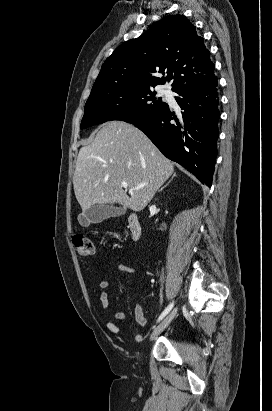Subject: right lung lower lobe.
I'll return each instance as SVG.
<instances>
[{"label":"right lung lower lobe","instance_id":"obj_1","mask_svg":"<svg viewBox=\"0 0 272 411\" xmlns=\"http://www.w3.org/2000/svg\"><path fill=\"white\" fill-rule=\"evenodd\" d=\"M217 79L176 91L177 115L168 104L153 116L133 122L170 160L192 172L202 184L212 185L218 139Z\"/></svg>","mask_w":272,"mask_h":411}]
</instances>
